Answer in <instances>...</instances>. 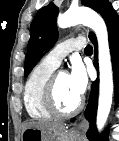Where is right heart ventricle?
Wrapping results in <instances>:
<instances>
[{"mask_svg":"<svg viewBox=\"0 0 119 141\" xmlns=\"http://www.w3.org/2000/svg\"><path fill=\"white\" fill-rule=\"evenodd\" d=\"M55 66L40 62L30 73L24 87V105L30 117L36 120H48L51 114L43 104L44 87L55 70Z\"/></svg>","mask_w":119,"mask_h":141,"instance_id":"1","label":"right heart ventricle"}]
</instances>
